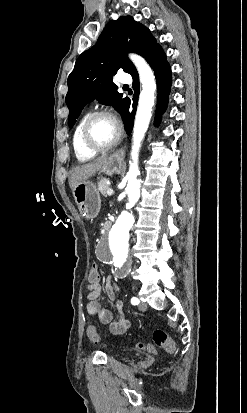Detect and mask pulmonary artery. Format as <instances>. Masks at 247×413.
<instances>
[{"mask_svg": "<svg viewBox=\"0 0 247 413\" xmlns=\"http://www.w3.org/2000/svg\"><path fill=\"white\" fill-rule=\"evenodd\" d=\"M120 75L122 76L115 78V81L118 82V85H124L125 87H128L129 85L133 86L131 84V81L133 79L129 80L130 78L128 75L125 74V70H120Z\"/></svg>", "mask_w": 247, "mask_h": 413, "instance_id": "pulmonary-artery-1", "label": "pulmonary artery"}]
</instances>
